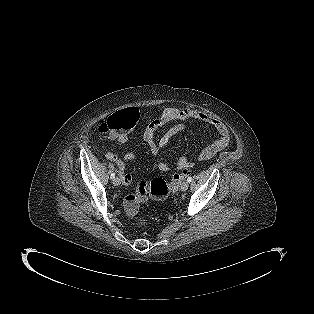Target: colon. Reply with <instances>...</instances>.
I'll use <instances>...</instances> for the list:
<instances>
[{
  "label": "colon",
  "instance_id": "colon-1",
  "mask_svg": "<svg viewBox=\"0 0 314 314\" xmlns=\"http://www.w3.org/2000/svg\"><path fill=\"white\" fill-rule=\"evenodd\" d=\"M139 119V112L135 107H127L111 115L99 128L106 137L125 135L132 130ZM190 173V169L184 168L173 176L171 185L163 179L154 177L140 180L134 187V192L127 195L123 201L126 214L133 218L140 226L147 224V218L138 214L140 205L149 198L164 200L171 190H176L181 181Z\"/></svg>",
  "mask_w": 314,
  "mask_h": 314
}]
</instances>
